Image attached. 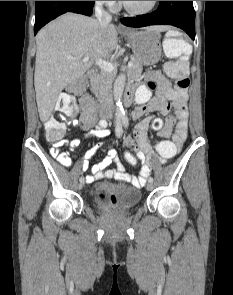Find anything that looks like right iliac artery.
Instances as JSON below:
<instances>
[{
  "label": "right iliac artery",
  "mask_w": 233,
  "mask_h": 295,
  "mask_svg": "<svg viewBox=\"0 0 233 295\" xmlns=\"http://www.w3.org/2000/svg\"><path fill=\"white\" fill-rule=\"evenodd\" d=\"M115 133H116V136L117 137H120L123 133V130H122V124H121V120L120 119H117L116 120V128H115ZM80 179H83V177H81ZM79 179V180H80Z\"/></svg>",
  "instance_id": "1"
}]
</instances>
